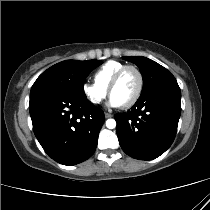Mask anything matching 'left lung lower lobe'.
Masks as SVG:
<instances>
[{
	"label": "left lung lower lobe",
	"mask_w": 210,
	"mask_h": 210,
	"mask_svg": "<svg viewBox=\"0 0 210 210\" xmlns=\"http://www.w3.org/2000/svg\"><path fill=\"white\" fill-rule=\"evenodd\" d=\"M181 113V92L164 84L139 97L131 110L114 115L123 151L140 160H152L172 144Z\"/></svg>",
	"instance_id": "0a47b994"
}]
</instances>
